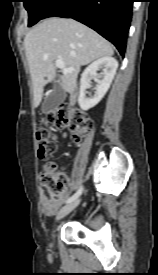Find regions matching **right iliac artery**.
Listing matches in <instances>:
<instances>
[{
  "instance_id": "right-iliac-artery-1",
  "label": "right iliac artery",
  "mask_w": 158,
  "mask_h": 275,
  "mask_svg": "<svg viewBox=\"0 0 158 275\" xmlns=\"http://www.w3.org/2000/svg\"><path fill=\"white\" fill-rule=\"evenodd\" d=\"M82 191H83V188L81 186L78 189V191L66 201V203H70V202L76 200L81 195Z\"/></svg>"
}]
</instances>
